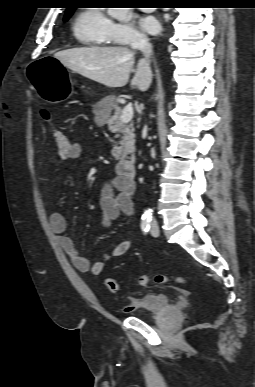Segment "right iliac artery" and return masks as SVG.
I'll use <instances>...</instances> for the list:
<instances>
[{
  "label": "right iliac artery",
  "instance_id": "1",
  "mask_svg": "<svg viewBox=\"0 0 255 387\" xmlns=\"http://www.w3.org/2000/svg\"><path fill=\"white\" fill-rule=\"evenodd\" d=\"M151 219L149 217H142L141 229L146 234L150 230Z\"/></svg>",
  "mask_w": 255,
  "mask_h": 387
}]
</instances>
